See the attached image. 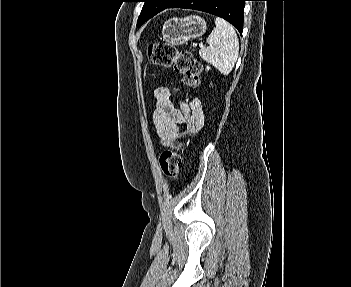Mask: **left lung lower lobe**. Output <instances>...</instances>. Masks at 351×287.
I'll return each mask as SVG.
<instances>
[{
    "label": "left lung lower lobe",
    "mask_w": 351,
    "mask_h": 287,
    "mask_svg": "<svg viewBox=\"0 0 351 287\" xmlns=\"http://www.w3.org/2000/svg\"><path fill=\"white\" fill-rule=\"evenodd\" d=\"M245 1L248 0H176L167 8L194 9L219 16L234 25L242 34Z\"/></svg>",
    "instance_id": "1"
}]
</instances>
